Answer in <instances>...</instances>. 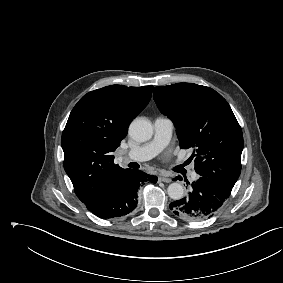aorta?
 Returning <instances> with one entry per match:
<instances>
[{
    "mask_svg": "<svg viewBox=\"0 0 283 283\" xmlns=\"http://www.w3.org/2000/svg\"><path fill=\"white\" fill-rule=\"evenodd\" d=\"M130 136L139 142H145L151 139L153 135V126L146 118H136L129 126ZM168 195L173 200H179L184 195V188L180 183H171L167 188Z\"/></svg>",
    "mask_w": 283,
    "mask_h": 283,
    "instance_id": "762f6f07",
    "label": "aorta"
}]
</instances>
